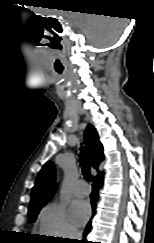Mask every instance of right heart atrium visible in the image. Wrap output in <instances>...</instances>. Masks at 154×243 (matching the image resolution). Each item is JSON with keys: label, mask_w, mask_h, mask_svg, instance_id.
<instances>
[{"label": "right heart atrium", "mask_w": 154, "mask_h": 243, "mask_svg": "<svg viewBox=\"0 0 154 243\" xmlns=\"http://www.w3.org/2000/svg\"><path fill=\"white\" fill-rule=\"evenodd\" d=\"M38 226L41 233L52 237L70 238L78 234L68 218L65 206L57 202L49 203L41 210Z\"/></svg>", "instance_id": "1"}]
</instances>
